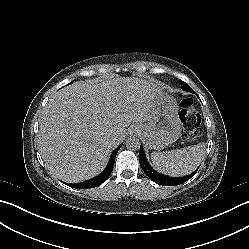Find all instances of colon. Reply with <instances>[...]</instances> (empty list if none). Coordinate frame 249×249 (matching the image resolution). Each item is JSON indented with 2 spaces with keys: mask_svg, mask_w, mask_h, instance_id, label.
I'll use <instances>...</instances> for the list:
<instances>
[{
  "mask_svg": "<svg viewBox=\"0 0 249 249\" xmlns=\"http://www.w3.org/2000/svg\"><path fill=\"white\" fill-rule=\"evenodd\" d=\"M180 117L183 124L184 136L188 140H195L198 136V127L200 124V116L196 110L192 98L185 97L181 103Z\"/></svg>",
  "mask_w": 249,
  "mask_h": 249,
  "instance_id": "colon-1",
  "label": "colon"
}]
</instances>
